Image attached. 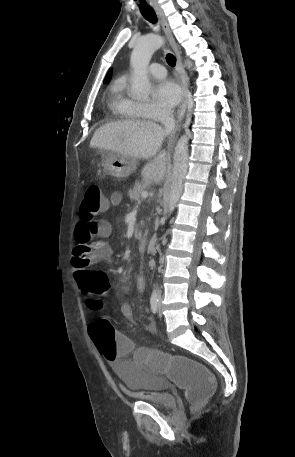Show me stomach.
<instances>
[{"label":"stomach","instance_id":"stomach-1","mask_svg":"<svg viewBox=\"0 0 295 457\" xmlns=\"http://www.w3.org/2000/svg\"><path fill=\"white\" fill-rule=\"evenodd\" d=\"M103 167L108 175L125 178L136 170L137 160L120 153L104 151L102 153Z\"/></svg>","mask_w":295,"mask_h":457}]
</instances>
